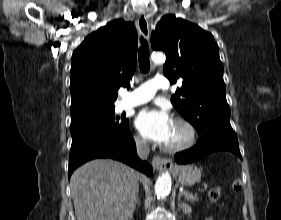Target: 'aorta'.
Here are the masks:
<instances>
[{
	"mask_svg": "<svg viewBox=\"0 0 281 220\" xmlns=\"http://www.w3.org/2000/svg\"><path fill=\"white\" fill-rule=\"evenodd\" d=\"M152 60L155 64H161L165 61V56L162 53H154ZM171 190V176L168 172L159 176L155 183V194L158 198H165Z\"/></svg>",
	"mask_w": 281,
	"mask_h": 220,
	"instance_id": "1",
	"label": "aorta"
}]
</instances>
